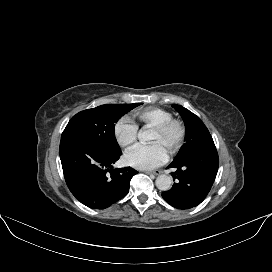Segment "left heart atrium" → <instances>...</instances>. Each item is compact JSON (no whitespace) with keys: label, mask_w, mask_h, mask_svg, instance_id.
<instances>
[{"label":"left heart atrium","mask_w":272,"mask_h":272,"mask_svg":"<svg viewBox=\"0 0 272 272\" xmlns=\"http://www.w3.org/2000/svg\"><path fill=\"white\" fill-rule=\"evenodd\" d=\"M166 158V150L159 142L137 146L126 154L127 162L142 170L156 168L164 163Z\"/></svg>","instance_id":"1"}]
</instances>
